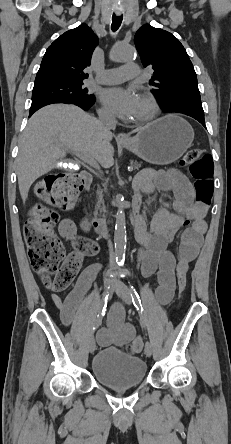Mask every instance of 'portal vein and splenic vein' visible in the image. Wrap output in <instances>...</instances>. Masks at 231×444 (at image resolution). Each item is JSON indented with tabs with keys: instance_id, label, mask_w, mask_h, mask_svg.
<instances>
[{
	"instance_id": "1",
	"label": "portal vein and splenic vein",
	"mask_w": 231,
	"mask_h": 444,
	"mask_svg": "<svg viewBox=\"0 0 231 444\" xmlns=\"http://www.w3.org/2000/svg\"><path fill=\"white\" fill-rule=\"evenodd\" d=\"M75 155L80 160H82L83 162L87 163L88 165H90V166H92V167H94L96 169H100L97 161L94 158H92L91 156L86 155V154H82V153H75Z\"/></svg>"
}]
</instances>
